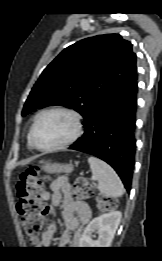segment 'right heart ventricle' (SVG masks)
Segmentation results:
<instances>
[{
	"mask_svg": "<svg viewBox=\"0 0 162 261\" xmlns=\"http://www.w3.org/2000/svg\"><path fill=\"white\" fill-rule=\"evenodd\" d=\"M28 145H29V147H31L29 135H28Z\"/></svg>",
	"mask_w": 162,
	"mask_h": 261,
	"instance_id": "e07e8e85",
	"label": "right heart ventricle"
}]
</instances>
